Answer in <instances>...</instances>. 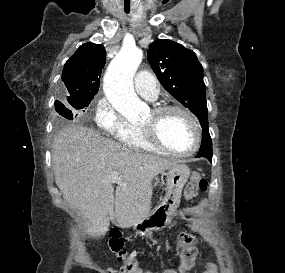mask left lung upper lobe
<instances>
[{"instance_id": "5c2ea615", "label": "left lung upper lobe", "mask_w": 285, "mask_h": 273, "mask_svg": "<svg viewBox=\"0 0 285 273\" xmlns=\"http://www.w3.org/2000/svg\"><path fill=\"white\" fill-rule=\"evenodd\" d=\"M147 57L163 87L207 128L203 68L194 52L171 40H156L149 46Z\"/></svg>"}]
</instances>
